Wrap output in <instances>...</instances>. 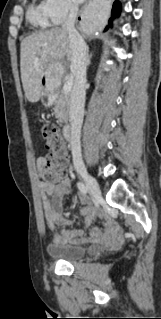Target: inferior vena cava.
<instances>
[{"instance_id":"1","label":"inferior vena cava","mask_w":161,"mask_h":319,"mask_svg":"<svg viewBox=\"0 0 161 319\" xmlns=\"http://www.w3.org/2000/svg\"><path fill=\"white\" fill-rule=\"evenodd\" d=\"M77 13L78 6L70 4L69 15L62 25V29L68 33L70 40V47L72 51L70 68L74 75V86L71 92L69 104L73 164L76 170H83L84 163L81 153L80 133L84 117L87 46L82 36L74 27Z\"/></svg>"}]
</instances>
